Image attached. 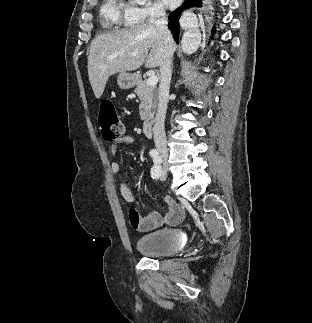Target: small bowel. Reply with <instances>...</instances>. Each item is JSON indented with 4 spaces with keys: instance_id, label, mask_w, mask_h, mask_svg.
<instances>
[{
    "instance_id": "small-bowel-1",
    "label": "small bowel",
    "mask_w": 312,
    "mask_h": 323,
    "mask_svg": "<svg viewBox=\"0 0 312 323\" xmlns=\"http://www.w3.org/2000/svg\"><path fill=\"white\" fill-rule=\"evenodd\" d=\"M132 136L124 135L115 140L109 146V152L115 154L118 148L122 145L131 144ZM110 171L114 175H119L121 172L120 165L113 162L110 165ZM119 190L125 202L129 205V221L131 226L140 232H149L160 227L176 226L184 219V211L180 205L171 197L166 199L168 211L165 213L151 212L147 215H141L134 207L136 194L123 181L119 183Z\"/></svg>"
}]
</instances>
